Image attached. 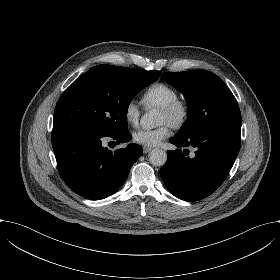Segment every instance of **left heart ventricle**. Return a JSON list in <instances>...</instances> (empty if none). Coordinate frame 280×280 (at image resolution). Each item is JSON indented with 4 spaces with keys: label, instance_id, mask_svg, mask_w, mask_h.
<instances>
[{
    "label": "left heart ventricle",
    "instance_id": "1",
    "mask_svg": "<svg viewBox=\"0 0 280 280\" xmlns=\"http://www.w3.org/2000/svg\"><path fill=\"white\" fill-rule=\"evenodd\" d=\"M169 122L172 123V115L163 111L161 108L159 109L158 114V123Z\"/></svg>",
    "mask_w": 280,
    "mask_h": 280
}]
</instances>
